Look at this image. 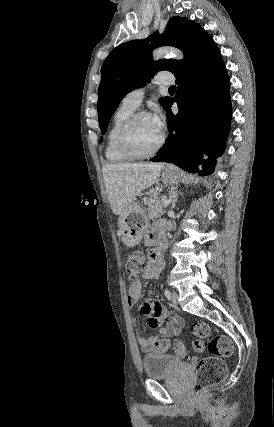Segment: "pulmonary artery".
<instances>
[{
    "mask_svg": "<svg viewBox=\"0 0 274 427\" xmlns=\"http://www.w3.org/2000/svg\"><path fill=\"white\" fill-rule=\"evenodd\" d=\"M173 82L174 79L171 76L162 77L160 80L158 77H155L152 81V83L157 85H171ZM145 90L146 87H140L128 93L123 99L121 106L127 109L137 110L142 103Z\"/></svg>",
    "mask_w": 274,
    "mask_h": 427,
    "instance_id": "pulmonary-artery-1",
    "label": "pulmonary artery"
}]
</instances>
